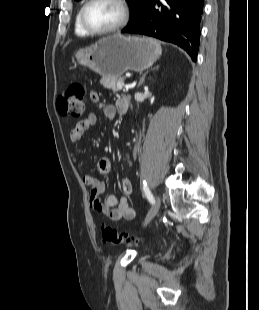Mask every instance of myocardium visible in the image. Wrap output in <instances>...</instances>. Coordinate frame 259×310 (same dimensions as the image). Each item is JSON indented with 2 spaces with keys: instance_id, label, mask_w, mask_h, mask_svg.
<instances>
[{
  "instance_id": "1",
  "label": "myocardium",
  "mask_w": 259,
  "mask_h": 310,
  "mask_svg": "<svg viewBox=\"0 0 259 310\" xmlns=\"http://www.w3.org/2000/svg\"><path fill=\"white\" fill-rule=\"evenodd\" d=\"M95 1L96 0H87L86 3L80 9V13H79L80 24L89 35H93V36L109 35V34L122 30L127 25L129 18H130L129 5L127 4L125 0H113V2H115L121 9V18L119 22L113 25L112 27L102 29V30H97V29L92 28L86 21L85 12H86V9L89 7V5H91Z\"/></svg>"
}]
</instances>
